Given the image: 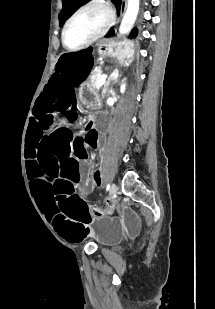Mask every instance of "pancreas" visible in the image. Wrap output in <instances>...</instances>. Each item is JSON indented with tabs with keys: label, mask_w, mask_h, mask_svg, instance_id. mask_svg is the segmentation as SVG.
Wrapping results in <instances>:
<instances>
[{
	"label": "pancreas",
	"mask_w": 215,
	"mask_h": 309,
	"mask_svg": "<svg viewBox=\"0 0 215 309\" xmlns=\"http://www.w3.org/2000/svg\"><path fill=\"white\" fill-rule=\"evenodd\" d=\"M93 74H95V78H92L91 86H94V88H96V86H97L96 82H97V80H99L98 74H100V76H101V74H103V70H101V68H97V70H93ZM108 86H109V82L107 80V82H104V84H103V90H106V88H108Z\"/></svg>",
	"instance_id": "obj_1"
}]
</instances>
